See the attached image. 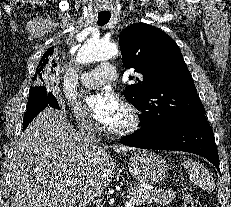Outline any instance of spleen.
Returning <instances> with one entry per match:
<instances>
[{"mask_svg": "<svg viewBox=\"0 0 231 207\" xmlns=\"http://www.w3.org/2000/svg\"><path fill=\"white\" fill-rule=\"evenodd\" d=\"M184 166L188 171L189 178L194 184L199 185L203 189H212L213 182L210 180L202 164L192 159H184Z\"/></svg>", "mask_w": 231, "mask_h": 207, "instance_id": "spleen-1", "label": "spleen"}]
</instances>
